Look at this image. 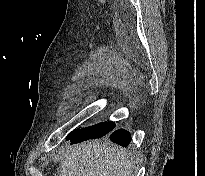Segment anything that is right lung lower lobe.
I'll list each match as a JSON object with an SVG mask.
<instances>
[{"label": "right lung lower lobe", "mask_w": 205, "mask_h": 176, "mask_svg": "<svg viewBox=\"0 0 205 176\" xmlns=\"http://www.w3.org/2000/svg\"><path fill=\"white\" fill-rule=\"evenodd\" d=\"M69 140L71 141L72 144L81 142L75 138H71ZM110 140L123 147H127L131 141V135L128 131H125L124 129H119L111 133Z\"/></svg>", "instance_id": "1"}]
</instances>
